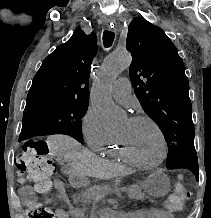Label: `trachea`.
Segmentation results:
<instances>
[{
	"label": "trachea",
	"instance_id": "1",
	"mask_svg": "<svg viewBox=\"0 0 211 218\" xmlns=\"http://www.w3.org/2000/svg\"><path fill=\"white\" fill-rule=\"evenodd\" d=\"M115 38V33L105 30L103 33V45L105 48L111 47L113 40Z\"/></svg>",
	"mask_w": 211,
	"mask_h": 218
}]
</instances>
